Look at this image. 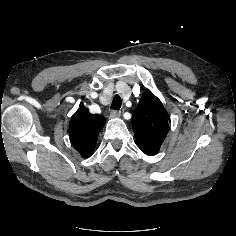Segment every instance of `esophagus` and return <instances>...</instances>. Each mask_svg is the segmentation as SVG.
Instances as JSON below:
<instances>
[{"mask_svg":"<svg viewBox=\"0 0 236 236\" xmlns=\"http://www.w3.org/2000/svg\"><path fill=\"white\" fill-rule=\"evenodd\" d=\"M120 116H121V112L120 111L112 110L110 112V117H112V118H119Z\"/></svg>","mask_w":236,"mask_h":236,"instance_id":"1","label":"esophagus"}]
</instances>
